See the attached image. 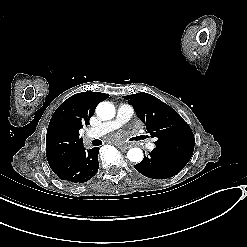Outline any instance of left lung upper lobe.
Returning <instances> with one entry per match:
<instances>
[{"mask_svg": "<svg viewBox=\"0 0 247 247\" xmlns=\"http://www.w3.org/2000/svg\"><path fill=\"white\" fill-rule=\"evenodd\" d=\"M124 98L145 123L147 133L156 138L154 143L157 148L192 157L195 145L193 132L173 108L144 92Z\"/></svg>", "mask_w": 247, "mask_h": 247, "instance_id": "5c2ea615", "label": "left lung upper lobe"}]
</instances>
